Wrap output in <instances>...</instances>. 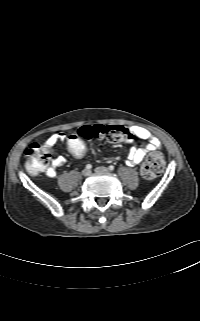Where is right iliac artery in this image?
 <instances>
[{"label":"right iliac artery","mask_w":200,"mask_h":321,"mask_svg":"<svg viewBox=\"0 0 200 321\" xmlns=\"http://www.w3.org/2000/svg\"><path fill=\"white\" fill-rule=\"evenodd\" d=\"M92 168V165L91 164H87L86 165V169H91Z\"/></svg>","instance_id":"obj_1"}]
</instances>
